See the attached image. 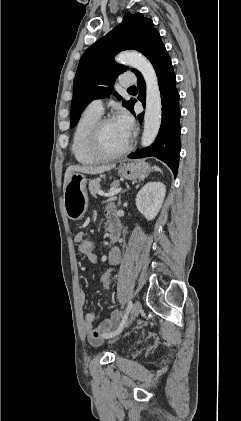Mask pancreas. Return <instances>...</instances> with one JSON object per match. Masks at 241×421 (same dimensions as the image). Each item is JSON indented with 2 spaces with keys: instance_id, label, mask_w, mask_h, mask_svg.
<instances>
[{
  "instance_id": "cf45deb5",
  "label": "pancreas",
  "mask_w": 241,
  "mask_h": 421,
  "mask_svg": "<svg viewBox=\"0 0 241 421\" xmlns=\"http://www.w3.org/2000/svg\"><path fill=\"white\" fill-rule=\"evenodd\" d=\"M119 184L120 183L118 181H114V182H112L111 186L114 187V188H116V187L119 186ZM88 188H89L90 193L93 196H95L100 191V179L97 178V179L91 180L89 182V187Z\"/></svg>"
}]
</instances>
